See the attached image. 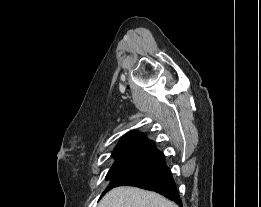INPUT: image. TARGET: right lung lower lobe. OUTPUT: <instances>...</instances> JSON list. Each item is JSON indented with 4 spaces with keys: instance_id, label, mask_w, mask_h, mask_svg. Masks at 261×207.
<instances>
[{
    "instance_id": "obj_1",
    "label": "right lung lower lobe",
    "mask_w": 261,
    "mask_h": 207,
    "mask_svg": "<svg viewBox=\"0 0 261 207\" xmlns=\"http://www.w3.org/2000/svg\"><path fill=\"white\" fill-rule=\"evenodd\" d=\"M123 185L136 186L146 190L155 191L182 207L171 172L165 163L127 181Z\"/></svg>"
}]
</instances>
